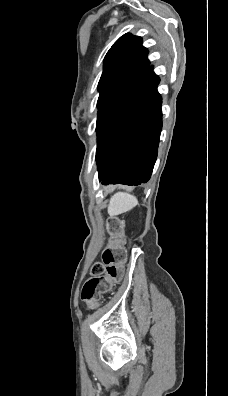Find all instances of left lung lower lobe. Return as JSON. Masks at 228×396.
I'll use <instances>...</instances> for the list:
<instances>
[{"label":"left lung lower lobe","instance_id":"1","mask_svg":"<svg viewBox=\"0 0 228 396\" xmlns=\"http://www.w3.org/2000/svg\"><path fill=\"white\" fill-rule=\"evenodd\" d=\"M159 78L153 67L110 109L97 133L102 184L139 185L152 174L162 129Z\"/></svg>","mask_w":228,"mask_h":396}]
</instances>
